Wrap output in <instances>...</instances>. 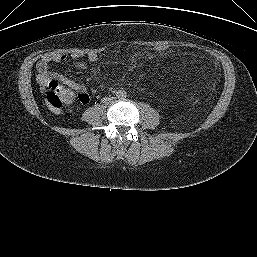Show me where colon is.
<instances>
[{
	"mask_svg": "<svg viewBox=\"0 0 257 257\" xmlns=\"http://www.w3.org/2000/svg\"><path fill=\"white\" fill-rule=\"evenodd\" d=\"M155 50L158 53H166L169 50V47L165 44H159L155 46ZM77 100L84 102L85 98L79 94L76 95L74 92L67 88L62 87L55 80H50L45 85L46 104L51 110L55 112H61L63 110L69 109Z\"/></svg>",
	"mask_w": 257,
	"mask_h": 257,
	"instance_id": "colon-1",
	"label": "colon"
}]
</instances>
